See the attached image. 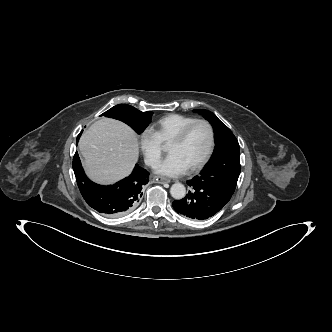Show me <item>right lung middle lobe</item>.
<instances>
[{
    "instance_id": "dd1d6c3e",
    "label": "right lung middle lobe",
    "mask_w": 332,
    "mask_h": 332,
    "mask_svg": "<svg viewBox=\"0 0 332 332\" xmlns=\"http://www.w3.org/2000/svg\"><path fill=\"white\" fill-rule=\"evenodd\" d=\"M152 114L153 112L151 111L141 112L130 105L119 104L104 112L102 115L118 119L128 124L135 132L140 134L150 123Z\"/></svg>"
}]
</instances>
